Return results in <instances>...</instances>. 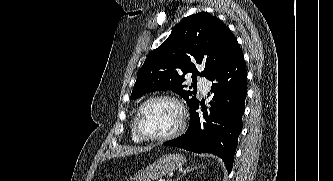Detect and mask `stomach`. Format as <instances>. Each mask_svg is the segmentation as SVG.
<instances>
[{"label":"stomach","mask_w":333,"mask_h":181,"mask_svg":"<svg viewBox=\"0 0 333 181\" xmlns=\"http://www.w3.org/2000/svg\"><path fill=\"white\" fill-rule=\"evenodd\" d=\"M186 163V158L180 154H166L152 164L140 169L133 177L134 181H155L173 172Z\"/></svg>","instance_id":"1"}]
</instances>
